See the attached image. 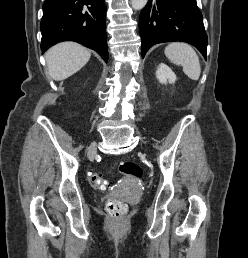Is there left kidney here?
<instances>
[{
    "instance_id": "5707ae66",
    "label": "left kidney",
    "mask_w": 248,
    "mask_h": 258,
    "mask_svg": "<svg viewBox=\"0 0 248 258\" xmlns=\"http://www.w3.org/2000/svg\"><path fill=\"white\" fill-rule=\"evenodd\" d=\"M156 77L162 84H166L167 82L175 83L177 79L172 69L164 63L159 64L158 69L156 71Z\"/></svg>"
}]
</instances>
